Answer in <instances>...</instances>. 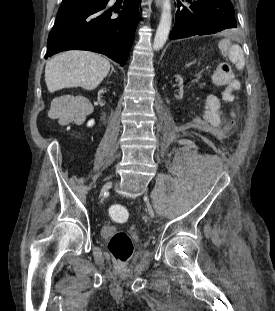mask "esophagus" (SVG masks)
I'll list each match as a JSON object with an SVG mask.
<instances>
[{"instance_id": "1", "label": "esophagus", "mask_w": 275, "mask_h": 311, "mask_svg": "<svg viewBox=\"0 0 275 311\" xmlns=\"http://www.w3.org/2000/svg\"><path fill=\"white\" fill-rule=\"evenodd\" d=\"M156 7L159 9L162 4V0H155Z\"/></svg>"}]
</instances>
